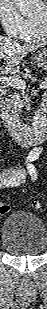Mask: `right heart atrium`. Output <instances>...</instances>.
<instances>
[{
    "label": "right heart atrium",
    "mask_w": 47,
    "mask_h": 309,
    "mask_svg": "<svg viewBox=\"0 0 47 309\" xmlns=\"http://www.w3.org/2000/svg\"><path fill=\"white\" fill-rule=\"evenodd\" d=\"M0 21L6 34L14 40L23 41L29 35L30 21L21 14L13 0H0Z\"/></svg>",
    "instance_id": "1"
}]
</instances>
